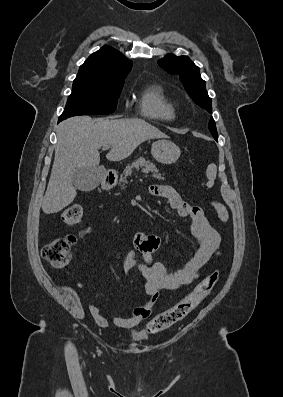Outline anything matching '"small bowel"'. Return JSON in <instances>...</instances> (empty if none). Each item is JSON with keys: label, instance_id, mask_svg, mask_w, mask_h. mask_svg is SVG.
I'll return each mask as SVG.
<instances>
[{"label": "small bowel", "instance_id": "obj_1", "mask_svg": "<svg viewBox=\"0 0 283 397\" xmlns=\"http://www.w3.org/2000/svg\"><path fill=\"white\" fill-rule=\"evenodd\" d=\"M149 191L152 195L165 199L180 217L190 219L191 234L196 246L191 258L181 268L170 270L163 263L153 260V255L161 245L158 236L142 232L134 236L135 249L126 254L124 269L128 273L134 272L142 277L147 300L143 305L135 308L131 316H114L111 319L113 325L123 329L137 327L151 315L160 291L175 290L191 284L199 277L201 269L208 263L216 262L221 254L220 234L210 225L201 207L190 205L176 190L167 185H151ZM92 231L93 227L87 226L80 231L79 237L84 238ZM90 313L100 327L106 328L109 325L108 319L97 305L90 306Z\"/></svg>", "mask_w": 283, "mask_h": 397}]
</instances>
